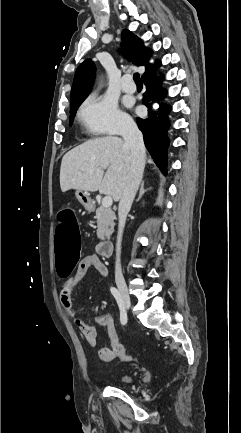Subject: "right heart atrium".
<instances>
[{"mask_svg":"<svg viewBox=\"0 0 241 433\" xmlns=\"http://www.w3.org/2000/svg\"><path fill=\"white\" fill-rule=\"evenodd\" d=\"M78 117L89 134H122L133 128L131 118L121 111L115 100L91 94L80 106Z\"/></svg>","mask_w":241,"mask_h":433,"instance_id":"d8ad5b80","label":"right heart atrium"}]
</instances>
